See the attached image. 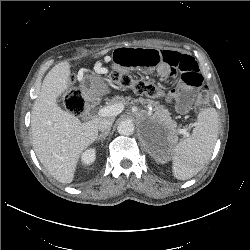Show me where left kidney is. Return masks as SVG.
<instances>
[{
  "instance_id": "1",
  "label": "left kidney",
  "mask_w": 250,
  "mask_h": 250,
  "mask_svg": "<svg viewBox=\"0 0 250 250\" xmlns=\"http://www.w3.org/2000/svg\"><path fill=\"white\" fill-rule=\"evenodd\" d=\"M154 158H155L156 161H158L160 163L164 162V159H163V156H162V151H158L157 153H155Z\"/></svg>"
}]
</instances>
